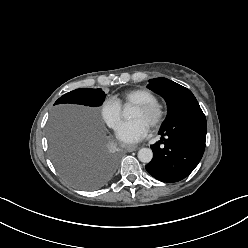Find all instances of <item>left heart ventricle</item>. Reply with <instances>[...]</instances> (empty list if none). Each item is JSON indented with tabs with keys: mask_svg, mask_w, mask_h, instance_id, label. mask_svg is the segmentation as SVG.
Masks as SVG:
<instances>
[{
	"mask_svg": "<svg viewBox=\"0 0 248 248\" xmlns=\"http://www.w3.org/2000/svg\"><path fill=\"white\" fill-rule=\"evenodd\" d=\"M131 119H141L143 120L147 125H149L150 120H151V114L148 113H144L142 111H140L137 108H133L131 115H130Z\"/></svg>",
	"mask_w": 248,
	"mask_h": 248,
	"instance_id": "1",
	"label": "left heart ventricle"
}]
</instances>
